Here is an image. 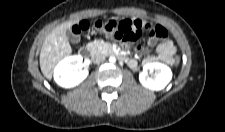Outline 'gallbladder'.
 <instances>
[{"label":"gallbladder","instance_id":"gallbladder-1","mask_svg":"<svg viewBox=\"0 0 225 132\" xmlns=\"http://www.w3.org/2000/svg\"><path fill=\"white\" fill-rule=\"evenodd\" d=\"M66 35L72 43H78L80 41V35L74 33L71 29L67 30Z\"/></svg>","mask_w":225,"mask_h":132}]
</instances>
